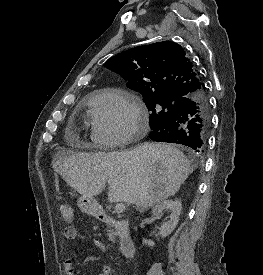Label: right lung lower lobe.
Here are the masks:
<instances>
[{"mask_svg":"<svg viewBox=\"0 0 263 275\" xmlns=\"http://www.w3.org/2000/svg\"><path fill=\"white\" fill-rule=\"evenodd\" d=\"M210 127V108L204 90L196 93L174 116L156 126L149 137L155 141L177 143L203 155Z\"/></svg>","mask_w":263,"mask_h":275,"instance_id":"obj_1","label":"right lung lower lobe"}]
</instances>
